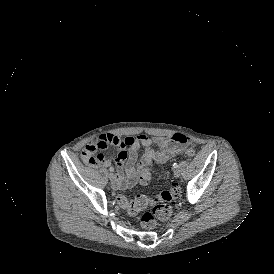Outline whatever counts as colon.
<instances>
[{"label": "colon", "instance_id": "1", "mask_svg": "<svg viewBox=\"0 0 274 274\" xmlns=\"http://www.w3.org/2000/svg\"><path fill=\"white\" fill-rule=\"evenodd\" d=\"M92 150L84 152H101L104 147L97 146V138L91 141ZM125 144V143H124ZM181 157L183 159L194 160L197 157L196 152L190 148H183L181 150ZM149 176L147 168H144L140 172V177L143 183H146V179ZM177 187H173L169 191H163L158 196H150L146 194H139L133 199L127 197L125 194H118L116 197V203L123 210L130 214H140V222L144 226H154L157 221L167 220L172 213V207L170 202L173 200Z\"/></svg>", "mask_w": 274, "mask_h": 274}]
</instances>
